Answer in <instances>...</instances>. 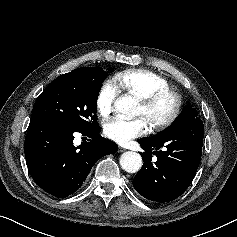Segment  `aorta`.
Returning a JSON list of instances; mask_svg holds the SVG:
<instances>
[{
  "mask_svg": "<svg viewBox=\"0 0 237 237\" xmlns=\"http://www.w3.org/2000/svg\"><path fill=\"white\" fill-rule=\"evenodd\" d=\"M137 100L132 96H124L115 102V109L125 116H134ZM121 168L128 173L138 172L142 167L141 156L132 151L123 153L120 157Z\"/></svg>",
  "mask_w": 237,
  "mask_h": 237,
  "instance_id": "aorta-1",
  "label": "aorta"
}]
</instances>
